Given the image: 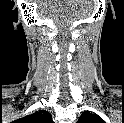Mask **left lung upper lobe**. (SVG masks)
<instances>
[{"instance_id":"obj_1","label":"left lung upper lobe","mask_w":124,"mask_h":123,"mask_svg":"<svg viewBox=\"0 0 124 123\" xmlns=\"http://www.w3.org/2000/svg\"><path fill=\"white\" fill-rule=\"evenodd\" d=\"M103 122L104 121L101 117L90 111H84L78 120V123H103Z\"/></svg>"}]
</instances>
